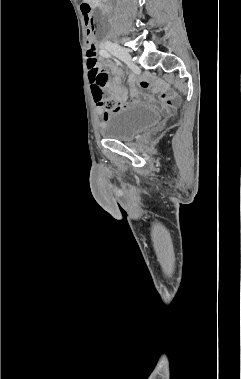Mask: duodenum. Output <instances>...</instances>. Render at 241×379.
<instances>
[{"mask_svg":"<svg viewBox=\"0 0 241 379\" xmlns=\"http://www.w3.org/2000/svg\"><path fill=\"white\" fill-rule=\"evenodd\" d=\"M88 1H89V4H86V5L91 9V6L98 5L101 0H88Z\"/></svg>","mask_w":241,"mask_h":379,"instance_id":"obj_1","label":"duodenum"}]
</instances>
